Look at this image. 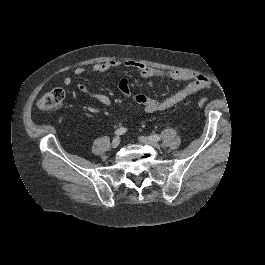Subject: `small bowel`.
Returning <instances> with one entry per match:
<instances>
[{
    "mask_svg": "<svg viewBox=\"0 0 265 265\" xmlns=\"http://www.w3.org/2000/svg\"><path fill=\"white\" fill-rule=\"evenodd\" d=\"M116 68H134L143 78H167L188 82L187 85L176 93L164 99H154L142 94L131 93L129 81L125 78L121 79L119 87L124 96L134 107H141L148 113H159L168 110L188 99L199 90L207 88L210 84L209 79L201 74L180 70H162L138 61L113 60L104 63H96L91 67V70L99 74H104ZM86 70L87 69L84 67H78L74 70V74L80 76ZM63 83L65 86H70L73 83V79L71 77H65ZM77 87L84 95L98 101L108 108L112 107V101L106 94L90 91L82 82H79Z\"/></svg>",
    "mask_w": 265,
    "mask_h": 265,
    "instance_id": "c3829d8e",
    "label": "small bowel"
}]
</instances>
